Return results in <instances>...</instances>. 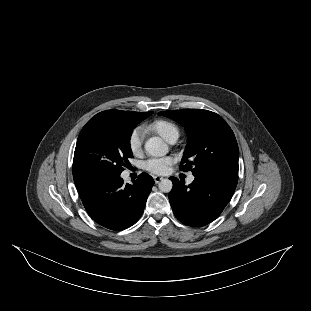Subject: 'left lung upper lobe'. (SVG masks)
Masks as SVG:
<instances>
[{"label": "left lung upper lobe", "mask_w": 311, "mask_h": 311, "mask_svg": "<svg viewBox=\"0 0 311 311\" xmlns=\"http://www.w3.org/2000/svg\"><path fill=\"white\" fill-rule=\"evenodd\" d=\"M185 127L188 144L181 160L182 171L201 175L219 170L238 172L239 149L235 135L218 114L199 109L159 112Z\"/></svg>", "instance_id": "obj_1"}]
</instances>
